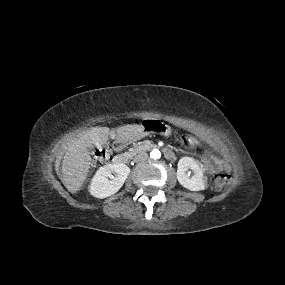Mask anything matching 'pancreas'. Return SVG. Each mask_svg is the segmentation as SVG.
<instances>
[{"label": "pancreas", "mask_w": 285, "mask_h": 285, "mask_svg": "<svg viewBox=\"0 0 285 285\" xmlns=\"http://www.w3.org/2000/svg\"><path fill=\"white\" fill-rule=\"evenodd\" d=\"M134 148H135L136 151H144V150H146V146L143 145V144H138Z\"/></svg>", "instance_id": "obj_1"}]
</instances>
